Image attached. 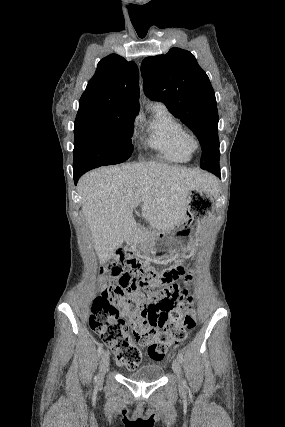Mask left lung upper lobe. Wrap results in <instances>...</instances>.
I'll use <instances>...</instances> for the list:
<instances>
[{
    "instance_id": "obj_1",
    "label": "left lung upper lobe",
    "mask_w": 285,
    "mask_h": 427,
    "mask_svg": "<svg viewBox=\"0 0 285 427\" xmlns=\"http://www.w3.org/2000/svg\"><path fill=\"white\" fill-rule=\"evenodd\" d=\"M141 73L145 94L162 101L194 132L202 148L200 167L217 175L220 152L215 93L194 55L172 48L165 55L145 58Z\"/></svg>"
}]
</instances>
